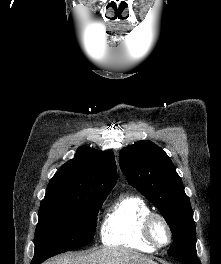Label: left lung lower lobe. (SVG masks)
I'll use <instances>...</instances> for the list:
<instances>
[{"label":"left lung lower lobe","instance_id":"obj_1","mask_svg":"<svg viewBox=\"0 0 221 264\" xmlns=\"http://www.w3.org/2000/svg\"><path fill=\"white\" fill-rule=\"evenodd\" d=\"M184 264H201L197 257L179 258Z\"/></svg>","mask_w":221,"mask_h":264}]
</instances>
